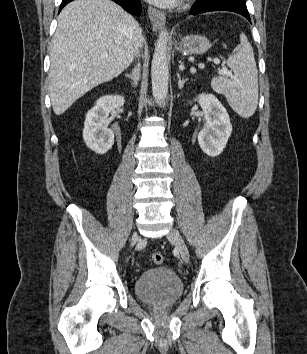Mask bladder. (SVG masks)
Here are the masks:
<instances>
[{
	"mask_svg": "<svg viewBox=\"0 0 307 354\" xmlns=\"http://www.w3.org/2000/svg\"><path fill=\"white\" fill-rule=\"evenodd\" d=\"M137 297L153 307H166L176 303L184 292V283L169 267H154L142 272L135 280Z\"/></svg>",
	"mask_w": 307,
	"mask_h": 354,
	"instance_id": "bladder-1",
	"label": "bladder"
}]
</instances>
